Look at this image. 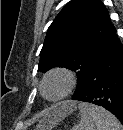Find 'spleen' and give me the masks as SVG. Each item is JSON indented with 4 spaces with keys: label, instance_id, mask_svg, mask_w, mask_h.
<instances>
[{
    "label": "spleen",
    "instance_id": "spleen-1",
    "mask_svg": "<svg viewBox=\"0 0 123 130\" xmlns=\"http://www.w3.org/2000/svg\"><path fill=\"white\" fill-rule=\"evenodd\" d=\"M80 121L73 130H123L119 120L100 106L79 103Z\"/></svg>",
    "mask_w": 123,
    "mask_h": 130
}]
</instances>
